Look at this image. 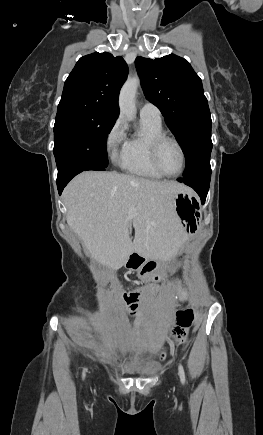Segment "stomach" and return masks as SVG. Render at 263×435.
Instances as JSON below:
<instances>
[{"label":"stomach","instance_id":"stomach-1","mask_svg":"<svg viewBox=\"0 0 263 435\" xmlns=\"http://www.w3.org/2000/svg\"><path fill=\"white\" fill-rule=\"evenodd\" d=\"M175 212L181 224L178 225L179 233H200L202 218L199 216V199L189 189L177 193L173 198ZM125 266L132 270L138 271L141 278L147 282H155L157 279L156 272L159 269V262L155 259L145 257L137 252L129 255ZM146 275V276H145ZM162 281L167 279L165 274L159 277ZM182 302V299H179Z\"/></svg>","mask_w":263,"mask_h":435}]
</instances>
